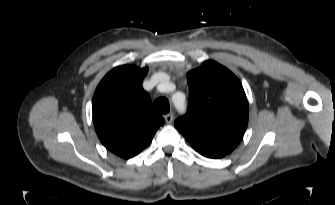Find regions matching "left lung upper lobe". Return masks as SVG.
<instances>
[{"mask_svg":"<svg viewBox=\"0 0 335 205\" xmlns=\"http://www.w3.org/2000/svg\"><path fill=\"white\" fill-rule=\"evenodd\" d=\"M189 104L175 127L199 153L225 156L242 139L248 101L238 78L215 61L187 73Z\"/></svg>","mask_w":335,"mask_h":205,"instance_id":"left-lung-upper-lobe-1","label":"left lung upper lobe"}]
</instances>
